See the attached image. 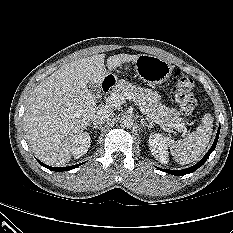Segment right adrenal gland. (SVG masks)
<instances>
[{
  "label": "right adrenal gland",
  "mask_w": 233,
  "mask_h": 233,
  "mask_svg": "<svg viewBox=\"0 0 233 233\" xmlns=\"http://www.w3.org/2000/svg\"><path fill=\"white\" fill-rule=\"evenodd\" d=\"M92 128H94V129H100V128H101V126L93 125V126H92Z\"/></svg>",
  "instance_id": "obj_1"
}]
</instances>
